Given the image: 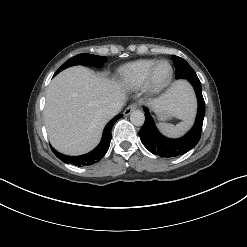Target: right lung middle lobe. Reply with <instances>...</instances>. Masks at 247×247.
Returning <instances> with one entry per match:
<instances>
[{"instance_id":"1","label":"right lung middle lobe","mask_w":247,"mask_h":247,"mask_svg":"<svg viewBox=\"0 0 247 247\" xmlns=\"http://www.w3.org/2000/svg\"><path fill=\"white\" fill-rule=\"evenodd\" d=\"M107 61L105 56H97L92 54H78L69 60H67L54 75L58 74L60 71L74 66V65H88L93 67H102L103 64Z\"/></svg>"}]
</instances>
